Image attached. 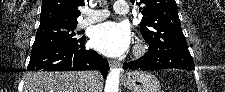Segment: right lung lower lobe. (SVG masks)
Instances as JSON below:
<instances>
[{
    "label": "right lung lower lobe",
    "instance_id": "1",
    "mask_svg": "<svg viewBox=\"0 0 225 92\" xmlns=\"http://www.w3.org/2000/svg\"><path fill=\"white\" fill-rule=\"evenodd\" d=\"M28 70L73 71L99 70L107 76L108 61L96 51L85 48V39L67 44L48 45L32 49Z\"/></svg>",
    "mask_w": 225,
    "mask_h": 92
}]
</instances>
